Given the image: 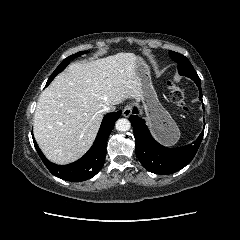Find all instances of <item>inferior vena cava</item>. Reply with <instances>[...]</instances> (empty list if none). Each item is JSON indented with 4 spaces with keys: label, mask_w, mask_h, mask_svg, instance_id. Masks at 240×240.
Returning a JSON list of instances; mask_svg holds the SVG:
<instances>
[{
    "label": "inferior vena cava",
    "mask_w": 240,
    "mask_h": 240,
    "mask_svg": "<svg viewBox=\"0 0 240 240\" xmlns=\"http://www.w3.org/2000/svg\"><path fill=\"white\" fill-rule=\"evenodd\" d=\"M115 110V107L112 106V105H108V106H105L103 109H102V112H112Z\"/></svg>",
    "instance_id": "602c4592"
}]
</instances>
